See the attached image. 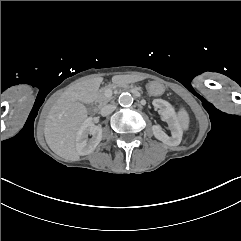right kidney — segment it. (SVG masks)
I'll return each mask as SVG.
<instances>
[{"label":"right kidney","mask_w":241,"mask_h":241,"mask_svg":"<svg viewBox=\"0 0 241 241\" xmlns=\"http://www.w3.org/2000/svg\"><path fill=\"white\" fill-rule=\"evenodd\" d=\"M92 135L88 139V135ZM102 140V128L93 123L92 117L87 118L76 133V150L79 155H88L95 150Z\"/></svg>","instance_id":"obj_1"}]
</instances>
